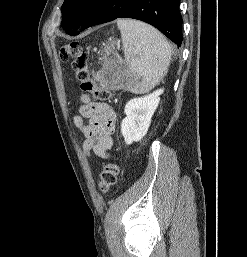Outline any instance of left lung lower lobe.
<instances>
[{
    "label": "left lung lower lobe",
    "mask_w": 247,
    "mask_h": 257,
    "mask_svg": "<svg viewBox=\"0 0 247 257\" xmlns=\"http://www.w3.org/2000/svg\"><path fill=\"white\" fill-rule=\"evenodd\" d=\"M179 4L180 0H99L80 31L117 18H133L153 25L180 46L183 37ZM79 33L76 31L71 35Z\"/></svg>",
    "instance_id": "0a47b994"
}]
</instances>
